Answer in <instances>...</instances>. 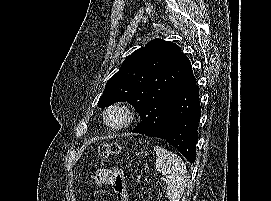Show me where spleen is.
<instances>
[{"label": "spleen", "mask_w": 271, "mask_h": 201, "mask_svg": "<svg viewBox=\"0 0 271 201\" xmlns=\"http://www.w3.org/2000/svg\"><path fill=\"white\" fill-rule=\"evenodd\" d=\"M156 169L166 177V198L169 201H179L187 183V170L183 160L177 154L155 146Z\"/></svg>", "instance_id": "obj_1"}]
</instances>
